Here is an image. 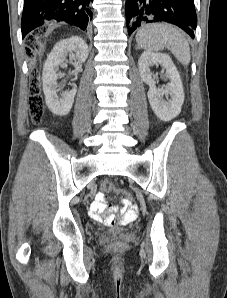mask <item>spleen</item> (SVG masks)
Masks as SVG:
<instances>
[{
    "label": "spleen",
    "instance_id": "obj_1",
    "mask_svg": "<svg viewBox=\"0 0 227 298\" xmlns=\"http://www.w3.org/2000/svg\"><path fill=\"white\" fill-rule=\"evenodd\" d=\"M138 48L160 51L166 47L183 65L190 63V47L185 36L165 23H153L139 29L136 34Z\"/></svg>",
    "mask_w": 227,
    "mask_h": 298
}]
</instances>
